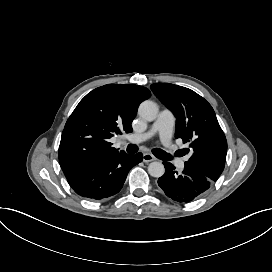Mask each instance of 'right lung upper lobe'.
<instances>
[{
	"instance_id": "right-lung-upper-lobe-1",
	"label": "right lung upper lobe",
	"mask_w": 272,
	"mask_h": 272,
	"mask_svg": "<svg viewBox=\"0 0 272 272\" xmlns=\"http://www.w3.org/2000/svg\"><path fill=\"white\" fill-rule=\"evenodd\" d=\"M150 96L147 88L132 84H108L87 94L62 132L58 152L62 170L117 155L109 139L132 131L139 104Z\"/></svg>"
}]
</instances>
